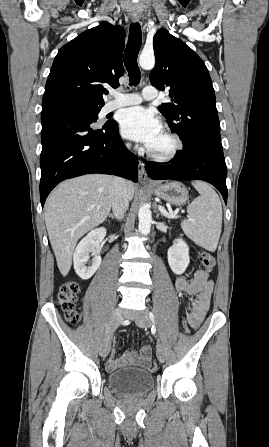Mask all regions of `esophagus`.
<instances>
[{"mask_svg":"<svg viewBox=\"0 0 269 447\" xmlns=\"http://www.w3.org/2000/svg\"><path fill=\"white\" fill-rule=\"evenodd\" d=\"M140 16H134L132 17L133 22H139ZM138 173H139V182L140 183H152V181L149 179L146 170H145V164L141 160L138 162Z\"/></svg>","mask_w":269,"mask_h":447,"instance_id":"1","label":"esophagus"}]
</instances>
